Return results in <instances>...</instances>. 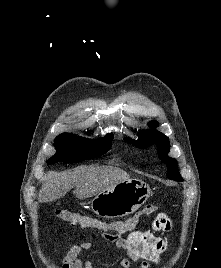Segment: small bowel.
Returning <instances> with one entry per match:
<instances>
[{
    "mask_svg": "<svg viewBox=\"0 0 221 268\" xmlns=\"http://www.w3.org/2000/svg\"><path fill=\"white\" fill-rule=\"evenodd\" d=\"M153 231H169L170 219L164 215H158L152 222ZM99 239L112 243L115 248L123 250L127 257L119 260L120 268H149L150 264H158L161 256L167 249L164 239L155 236L151 231L133 229L129 232H102ZM94 244L82 241L71 246L61 259V268H104L90 260L81 258L84 252L94 249Z\"/></svg>",
    "mask_w": 221,
    "mask_h": 268,
    "instance_id": "obj_1",
    "label": "small bowel"
}]
</instances>
